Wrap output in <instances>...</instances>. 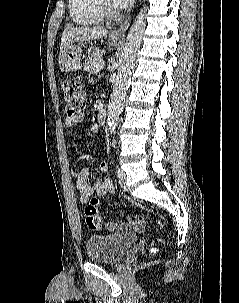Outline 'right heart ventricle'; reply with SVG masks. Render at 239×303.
<instances>
[{
	"instance_id": "e07e8e85",
	"label": "right heart ventricle",
	"mask_w": 239,
	"mask_h": 303,
	"mask_svg": "<svg viewBox=\"0 0 239 303\" xmlns=\"http://www.w3.org/2000/svg\"><path fill=\"white\" fill-rule=\"evenodd\" d=\"M68 6L71 18L77 24H98L104 18L98 0H68Z\"/></svg>"
}]
</instances>
